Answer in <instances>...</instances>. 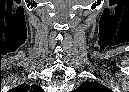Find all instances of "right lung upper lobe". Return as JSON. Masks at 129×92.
I'll use <instances>...</instances> for the list:
<instances>
[{
    "instance_id": "obj_1",
    "label": "right lung upper lobe",
    "mask_w": 129,
    "mask_h": 92,
    "mask_svg": "<svg viewBox=\"0 0 129 92\" xmlns=\"http://www.w3.org/2000/svg\"><path fill=\"white\" fill-rule=\"evenodd\" d=\"M20 88H24L25 90H33L35 92H41L42 89L38 86H35V85H32V86H29V85H22L20 86Z\"/></svg>"
}]
</instances>
